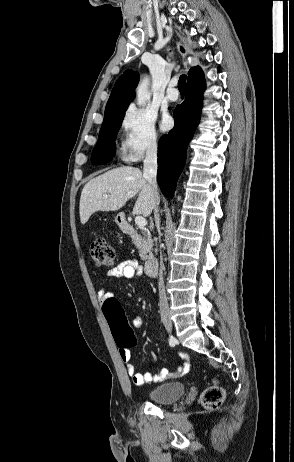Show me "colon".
<instances>
[{
	"instance_id": "1",
	"label": "colon",
	"mask_w": 294,
	"mask_h": 462,
	"mask_svg": "<svg viewBox=\"0 0 294 462\" xmlns=\"http://www.w3.org/2000/svg\"><path fill=\"white\" fill-rule=\"evenodd\" d=\"M92 261L97 267H109L115 262V252L107 241L94 236L90 244ZM102 310L110 326L115 342L119 348H131L136 345V337L129 326L124 310L119 301L114 297H108L103 301ZM224 390L218 385H213L201 394V402L208 409L218 408L224 401Z\"/></svg>"
}]
</instances>
